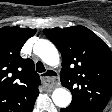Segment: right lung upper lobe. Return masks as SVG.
<instances>
[{"instance_id": "obj_1", "label": "right lung upper lobe", "mask_w": 112, "mask_h": 112, "mask_svg": "<svg viewBox=\"0 0 112 112\" xmlns=\"http://www.w3.org/2000/svg\"><path fill=\"white\" fill-rule=\"evenodd\" d=\"M36 29H0V112H31L39 94L40 77L20 50Z\"/></svg>"}]
</instances>
